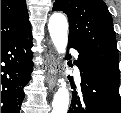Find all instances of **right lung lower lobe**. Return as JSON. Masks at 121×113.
I'll return each instance as SVG.
<instances>
[{"mask_svg":"<svg viewBox=\"0 0 121 113\" xmlns=\"http://www.w3.org/2000/svg\"><path fill=\"white\" fill-rule=\"evenodd\" d=\"M31 30L1 43V113H20L33 70Z\"/></svg>","mask_w":121,"mask_h":113,"instance_id":"1","label":"right lung lower lobe"}]
</instances>
